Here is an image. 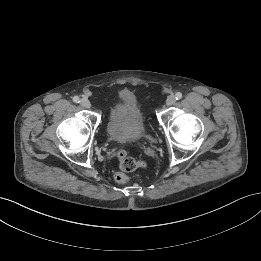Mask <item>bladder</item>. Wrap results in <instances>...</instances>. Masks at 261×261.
I'll return each mask as SVG.
<instances>
[{"instance_id": "obj_1", "label": "bladder", "mask_w": 261, "mask_h": 261, "mask_svg": "<svg viewBox=\"0 0 261 261\" xmlns=\"http://www.w3.org/2000/svg\"><path fill=\"white\" fill-rule=\"evenodd\" d=\"M107 132L111 139L119 142H134L145 133L141 105L134 94L121 92L111 105Z\"/></svg>"}]
</instances>
